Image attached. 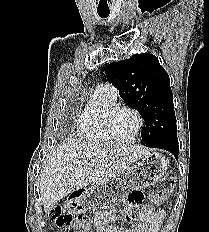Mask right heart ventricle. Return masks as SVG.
<instances>
[{
    "mask_svg": "<svg viewBox=\"0 0 209 232\" xmlns=\"http://www.w3.org/2000/svg\"><path fill=\"white\" fill-rule=\"evenodd\" d=\"M116 106L103 90L96 88L77 119L78 135L86 142L96 145L110 143L104 133V117L109 109Z\"/></svg>",
    "mask_w": 209,
    "mask_h": 232,
    "instance_id": "right-heart-ventricle-1",
    "label": "right heart ventricle"
}]
</instances>
